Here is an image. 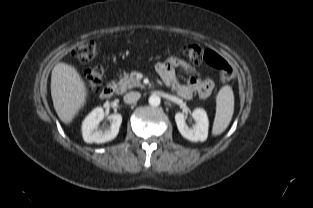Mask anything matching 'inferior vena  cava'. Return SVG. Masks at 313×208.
<instances>
[{"label": "inferior vena cava", "mask_w": 313, "mask_h": 208, "mask_svg": "<svg viewBox=\"0 0 313 208\" xmlns=\"http://www.w3.org/2000/svg\"><path fill=\"white\" fill-rule=\"evenodd\" d=\"M141 97L139 92H129L124 95L123 100L125 103L133 104L136 103Z\"/></svg>", "instance_id": "1"}]
</instances>
